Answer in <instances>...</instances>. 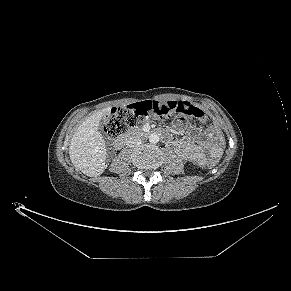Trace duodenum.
Segmentation results:
<instances>
[{"label":"duodenum","instance_id":"obj_1","mask_svg":"<svg viewBox=\"0 0 291 291\" xmlns=\"http://www.w3.org/2000/svg\"><path fill=\"white\" fill-rule=\"evenodd\" d=\"M137 134H138L137 131H133V132H131L129 134H126V135L120 137L115 142L116 148H122L127 143L128 140H130L131 138L135 137Z\"/></svg>","mask_w":291,"mask_h":291}]
</instances>
